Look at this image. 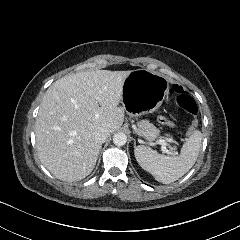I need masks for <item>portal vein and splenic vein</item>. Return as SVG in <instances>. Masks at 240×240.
<instances>
[{
	"mask_svg": "<svg viewBox=\"0 0 240 240\" xmlns=\"http://www.w3.org/2000/svg\"><path fill=\"white\" fill-rule=\"evenodd\" d=\"M154 145H161V150L163 153H168V154H171V152H168L167 148H166V141L163 140V139H160V140H157L155 143H153ZM177 154V153H175Z\"/></svg>",
	"mask_w": 240,
	"mask_h": 240,
	"instance_id": "obj_1",
	"label": "portal vein and splenic vein"
}]
</instances>
